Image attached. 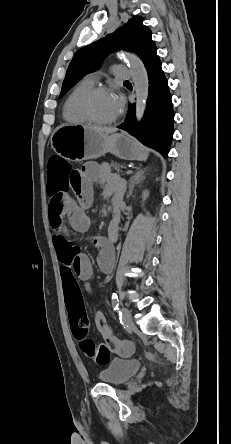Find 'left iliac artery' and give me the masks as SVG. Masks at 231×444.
<instances>
[{
  "label": "left iliac artery",
  "mask_w": 231,
  "mask_h": 444,
  "mask_svg": "<svg viewBox=\"0 0 231 444\" xmlns=\"http://www.w3.org/2000/svg\"><path fill=\"white\" fill-rule=\"evenodd\" d=\"M112 306L115 311L119 310V299L116 293L112 294Z\"/></svg>",
  "instance_id": "obj_1"
}]
</instances>
